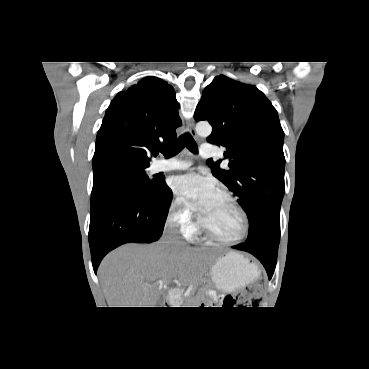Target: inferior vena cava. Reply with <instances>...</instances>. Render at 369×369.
Returning a JSON list of instances; mask_svg holds the SVG:
<instances>
[{"label": "inferior vena cava", "instance_id": "obj_1", "mask_svg": "<svg viewBox=\"0 0 369 369\" xmlns=\"http://www.w3.org/2000/svg\"><path fill=\"white\" fill-rule=\"evenodd\" d=\"M179 226V221L176 218L172 216L168 217L165 224L162 240L167 244H185L184 242L180 241Z\"/></svg>", "mask_w": 369, "mask_h": 369}]
</instances>
